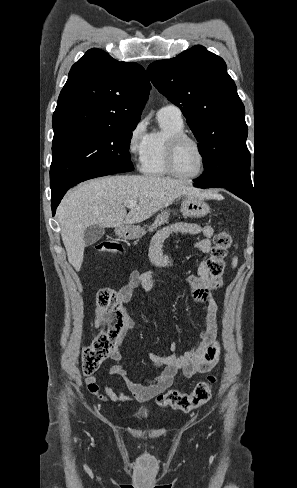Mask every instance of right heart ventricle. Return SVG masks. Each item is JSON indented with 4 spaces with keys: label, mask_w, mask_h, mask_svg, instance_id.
Returning a JSON list of instances; mask_svg holds the SVG:
<instances>
[{
    "label": "right heart ventricle",
    "mask_w": 297,
    "mask_h": 488,
    "mask_svg": "<svg viewBox=\"0 0 297 488\" xmlns=\"http://www.w3.org/2000/svg\"><path fill=\"white\" fill-rule=\"evenodd\" d=\"M160 130L147 136L146 152L140 164L141 171L152 176H167L169 171L165 166V148L169 138L184 133L183 120L159 117Z\"/></svg>",
    "instance_id": "right-heart-ventricle-1"
}]
</instances>
